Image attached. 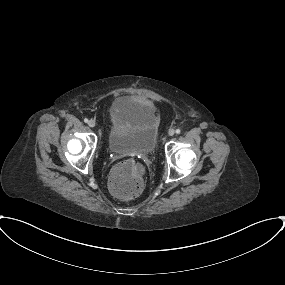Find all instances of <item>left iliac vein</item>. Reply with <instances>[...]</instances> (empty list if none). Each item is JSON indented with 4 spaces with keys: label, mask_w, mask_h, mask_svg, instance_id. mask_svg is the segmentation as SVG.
<instances>
[{
    "label": "left iliac vein",
    "mask_w": 285,
    "mask_h": 285,
    "mask_svg": "<svg viewBox=\"0 0 285 285\" xmlns=\"http://www.w3.org/2000/svg\"><path fill=\"white\" fill-rule=\"evenodd\" d=\"M174 134H175L174 129H170L169 132H168V135L169 136H173Z\"/></svg>",
    "instance_id": "1"
}]
</instances>
